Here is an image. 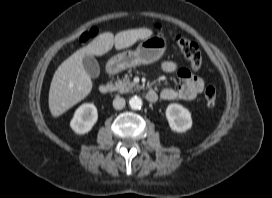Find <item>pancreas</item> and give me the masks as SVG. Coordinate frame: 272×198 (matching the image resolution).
<instances>
[{
    "instance_id": "pancreas-1",
    "label": "pancreas",
    "mask_w": 272,
    "mask_h": 198,
    "mask_svg": "<svg viewBox=\"0 0 272 198\" xmlns=\"http://www.w3.org/2000/svg\"><path fill=\"white\" fill-rule=\"evenodd\" d=\"M138 88L139 86L134 82H131L128 77H124L123 79L116 81L114 84V89L120 93L134 91V89Z\"/></svg>"
}]
</instances>
